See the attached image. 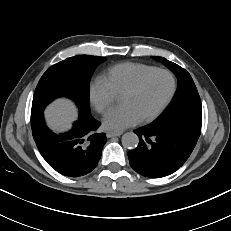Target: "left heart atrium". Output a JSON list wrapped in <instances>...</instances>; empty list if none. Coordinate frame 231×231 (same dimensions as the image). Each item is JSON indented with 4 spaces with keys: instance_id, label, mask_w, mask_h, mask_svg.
<instances>
[{
    "instance_id": "obj_1",
    "label": "left heart atrium",
    "mask_w": 231,
    "mask_h": 231,
    "mask_svg": "<svg viewBox=\"0 0 231 231\" xmlns=\"http://www.w3.org/2000/svg\"><path fill=\"white\" fill-rule=\"evenodd\" d=\"M139 117L129 105H121L108 112L103 119V127L107 130L120 131L135 125Z\"/></svg>"
}]
</instances>
